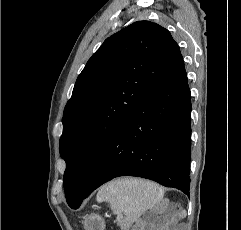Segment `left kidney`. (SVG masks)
<instances>
[{
  "mask_svg": "<svg viewBox=\"0 0 241 230\" xmlns=\"http://www.w3.org/2000/svg\"><path fill=\"white\" fill-rule=\"evenodd\" d=\"M135 230H145V227L143 225H140V227Z\"/></svg>",
  "mask_w": 241,
  "mask_h": 230,
  "instance_id": "5707ae66",
  "label": "left kidney"
}]
</instances>
